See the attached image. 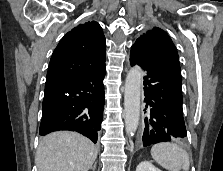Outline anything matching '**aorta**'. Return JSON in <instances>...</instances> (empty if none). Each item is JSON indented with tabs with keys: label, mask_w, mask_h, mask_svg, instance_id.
<instances>
[{
	"label": "aorta",
	"mask_w": 223,
	"mask_h": 171,
	"mask_svg": "<svg viewBox=\"0 0 223 171\" xmlns=\"http://www.w3.org/2000/svg\"><path fill=\"white\" fill-rule=\"evenodd\" d=\"M142 69L134 66L127 74L124 92V120L126 134L133 136L138 128L140 117V95Z\"/></svg>",
	"instance_id": "1"
}]
</instances>
